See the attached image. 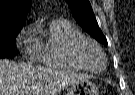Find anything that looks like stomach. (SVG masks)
I'll return each instance as SVG.
<instances>
[{"label":"stomach","mask_w":135,"mask_h":95,"mask_svg":"<svg viewBox=\"0 0 135 95\" xmlns=\"http://www.w3.org/2000/svg\"><path fill=\"white\" fill-rule=\"evenodd\" d=\"M67 95H99V90L95 83L85 79L68 88Z\"/></svg>","instance_id":"1"}]
</instances>
